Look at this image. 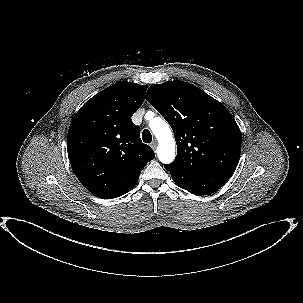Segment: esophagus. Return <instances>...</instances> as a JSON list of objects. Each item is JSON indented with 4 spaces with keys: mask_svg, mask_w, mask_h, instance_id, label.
I'll list each match as a JSON object with an SVG mask.
<instances>
[{
    "mask_svg": "<svg viewBox=\"0 0 303 303\" xmlns=\"http://www.w3.org/2000/svg\"><path fill=\"white\" fill-rule=\"evenodd\" d=\"M151 148H152L153 150H156V148H157V141H156V140H154V141L151 143Z\"/></svg>",
    "mask_w": 303,
    "mask_h": 303,
    "instance_id": "esophagus-1",
    "label": "esophagus"
}]
</instances>
